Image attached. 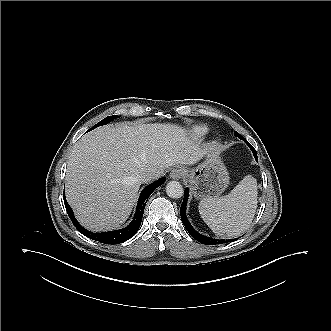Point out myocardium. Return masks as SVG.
Instances as JSON below:
<instances>
[{"mask_svg":"<svg viewBox=\"0 0 331 331\" xmlns=\"http://www.w3.org/2000/svg\"><path fill=\"white\" fill-rule=\"evenodd\" d=\"M213 144L216 145L217 144V141H215Z\"/></svg>","mask_w":331,"mask_h":331,"instance_id":"1","label":"myocardium"}]
</instances>
